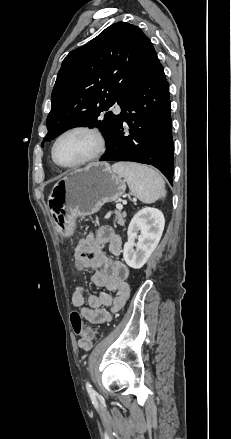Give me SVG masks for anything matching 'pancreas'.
<instances>
[{
  "label": "pancreas",
  "instance_id": "obj_1",
  "mask_svg": "<svg viewBox=\"0 0 231 439\" xmlns=\"http://www.w3.org/2000/svg\"><path fill=\"white\" fill-rule=\"evenodd\" d=\"M125 217H126V214L124 212L122 213L120 211H116L114 222H116L117 224H119L121 226H124L125 222H126Z\"/></svg>",
  "mask_w": 231,
  "mask_h": 439
}]
</instances>
